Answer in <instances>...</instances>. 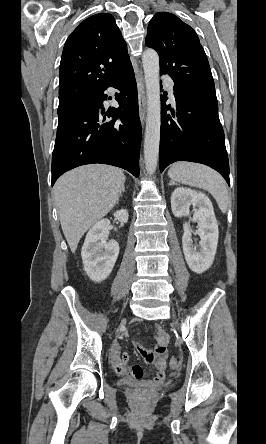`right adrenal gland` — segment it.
<instances>
[{
	"label": "right adrenal gland",
	"mask_w": 266,
	"mask_h": 444,
	"mask_svg": "<svg viewBox=\"0 0 266 444\" xmlns=\"http://www.w3.org/2000/svg\"><path fill=\"white\" fill-rule=\"evenodd\" d=\"M122 193H125V188L124 187L122 188ZM120 196H122V194ZM118 203H119V200L117 201V204Z\"/></svg>",
	"instance_id": "1"
}]
</instances>
